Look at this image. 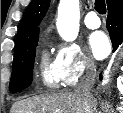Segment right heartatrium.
<instances>
[{
  "instance_id": "right-heart-atrium-1",
  "label": "right heart atrium",
  "mask_w": 123,
  "mask_h": 113,
  "mask_svg": "<svg viewBox=\"0 0 123 113\" xmlns=\"http://www.w3.org/2000/svg\"><path fill=\"white\" fill-rule=\"evenodd\" d=\"M54 66L60 83L66 87L75 85L82 75L94 70L91 58L79 45L72 43L59 44Z\"/></svg>"
}]
</instances>
